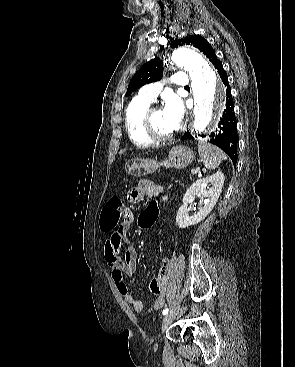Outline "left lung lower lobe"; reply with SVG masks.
Returning <instances> with one entry per match:
<instances>
[{
	"label": "left lung lower lobe",
	"mask_w": 295,
	"mask_h": 367,
	"mask_svg": "<svg viewBox=\"0 0 295 367\" xmlns=\"http://www.w3.org/2000/svg\"><path fill=\"white\" fill-rule=\"evenodd\" d=\"M212 64L217 69V72L226 86V105L222 114L221 121L219 122L218 129L209 135L210 143L218 146L225 151L231 158L234 165L237 162V144L238 134L236 128V119L234 114V104L231 96V87L229 86L228 77L223 69L222 63L216 58L212 61ZM204 137L205 135H199ZM193 139L189 131L185 132L181 140Z\"/></svg>",
	"instance_id": "1"
}]
</instances>
